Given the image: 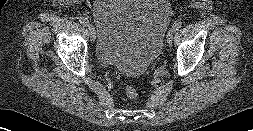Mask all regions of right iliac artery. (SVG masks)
<instances>
[{"instance_id":"right-iliac-artery-1","label":"right iliac artery","mask_w":253,"mask_h":131,"mask_svg":"<svg viewBox=\"0 0 253 131\" xmlns=\"http://www.w3.org/2000/svg\"><path fill=\"white\" fill-rule=\"evenodd\" d=\"M79 21H80L81 24H83L85 26H88V24H89L88 18L84 17V16L79 17Z\"/></svg>"}]
</instances>
